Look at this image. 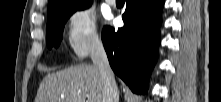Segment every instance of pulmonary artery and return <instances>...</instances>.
I'll return each mask as SVG.
<instances>
[{"label": "pulmonary artery", "mask_w": 221, "mask_h": 102, "mask_svg": "<svg viewBox=\"0 0 221 102\" xmlns=\"http://www.w3.org/2000/svg\"><path fill=\"white\" fill-rule=\"evenodd\" d=\"M116 0H106V3L109 5H114Z\"/></svg>", "instance_id": "1"}]
</instances>
